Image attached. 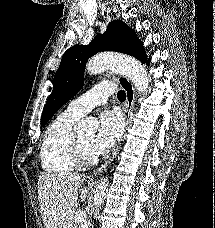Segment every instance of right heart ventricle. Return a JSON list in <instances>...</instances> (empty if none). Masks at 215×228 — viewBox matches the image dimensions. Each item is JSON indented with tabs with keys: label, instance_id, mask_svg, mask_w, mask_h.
<instances>
[{
	"label": "right heart ventricle",
	"instance_id": "1",
	"mask_svg": "<svg viewBox=\"0 0 215 228\" xmlns=\"http://www.w3.org/2000/svg\"><path fill=\"white\" fill-rule=\"evenodd\" d=\"M80 116L67 109L48 126L40 148L42 168L50 174H65L77 168L70 151L73 128Z\"/></svg>",
	"mask_w": 215,
	"mask_h": 228
}]
</instances>
